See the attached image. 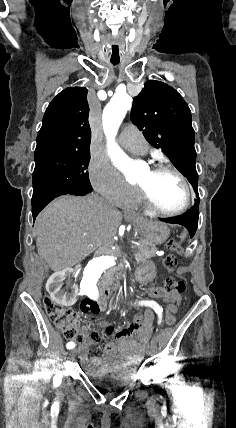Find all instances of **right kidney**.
<instances>
[{
    "instance_id": "1",
    "label": "right kidney",
    "mask_w": 236,
    "mask_h": 428,
    "mask_svg": "<svg viewBox=\"0 0 236 428\" xmlns=\"http://www.w3.org/2000/svg\"><path fill=\"white\" fill-rule=\"evenodd\" d=\"M76 269H56L49 278L48 291L55 306H73L76 302L75 293L79 289L77 283H66L68 278H76Z\"/></svg>"
}]
</instances>
